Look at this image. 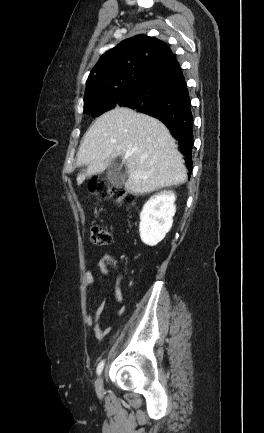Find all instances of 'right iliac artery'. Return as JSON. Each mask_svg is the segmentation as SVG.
Returning a JSON list of instances; mask_svg holds the SVG:
<instances>
[{
  "instance_id": "right-iliac-artery-1",
  "label": "right iliac artery",
  "mask_w": 264,
  "mask_h": 433,
  "mask_svg": "<svg viewBox=\"0 0 264 433\" xmlns=\"http://www.w3.org/2000/svg\"><path fill=\"white\" fill-rule=\"evenodd\" d=\"M104 363H105V361L103 360V361H101V362L98 364V366H97V370H96V372H97L98 375L101 374V372H102V370H103V367H104Z\"/></svg>"
}]
</instances>
